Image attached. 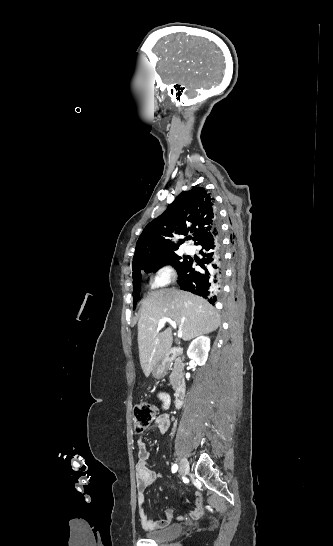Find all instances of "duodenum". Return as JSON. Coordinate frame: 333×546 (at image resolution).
I'll list each match as a JSON object with an SVG mask.
<instances>
[{
	"instance_id": "1",
	"label": "duodenum",
	"mask_w": 333,
	"mask_h": 546,
	"mask_svg": "<svg viewBox=\"0 0 333 546\" xmlns=\"http://www.w3.org/2000/svg\"><path fill=\"white\" fill-rule=\"evenodd\" d=\"M180 354H181V349L178 347H174L167 354V359L169 360L173 359ZM186 390H187V387H186L185 381L180 380L175 386V392H174L175 406L180 407L183 404L184 399L186 397Z\"/></svg>"
}]
</instances>
